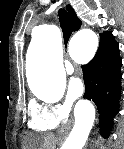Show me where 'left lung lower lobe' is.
Returning <instances> with one entry per match:
<instances>
[{
  "mask_svg": "<svg viewBox=\"0 0 124 149\" xmlns=\"http://www.w3.org/2000/svg\"><path fill=\"white\" fill-rule=\"evenodd\" d=\"M121 66L118 43L111 32L100 35L95 57L82 66L85 83L84 98L92 100L100 114V134L108 138L113 118L119 110L121 97Z\"/></svg>",
  "mask_w": 124,
  "mask_h": 149,
  "instance_id": "1",
  "label": "left lung lower lobe"
}]
</instances>
